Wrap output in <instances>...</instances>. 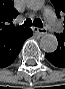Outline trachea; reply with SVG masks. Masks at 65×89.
<instances>
[{
    "mask_svg": "<svg viewBox=\"0 0 65 89\" xmlns=\"http://www.w3.org/2000/svg\"><path fill=\"white\" fill-rule=\"evenodd\" d=\"M33 25L35 27H38V28H43V23L38 18L33 21ZM31 26H32V21L30 19H27L22 25V27H25V28H28V27H31Z\"/></svg>",
    "mask_w": 65,
    "mask_h": 89,
    "instance_id": "obj_1",
    "label": "trachea"
}]
</instances>
